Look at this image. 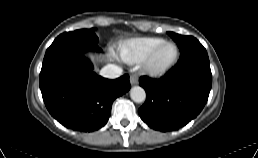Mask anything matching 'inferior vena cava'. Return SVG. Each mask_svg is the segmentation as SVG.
Instances as JSON below:
<instances>
[{
	"label": "inferior vena cava",
	"instance_id": "1",
	"mask_svg": "<svg viewBox=\"0 0 258 158\" xmlns=\"http://www.w3.org/2000/svg\"><path fill=\"white\" fill-rule=\"evenodd\" d=\"M122 68L114 65L108 64L100 70V75L104 78L115 79L122 75Z\"/></svg>",
	"mask_w": 258,
	"mask_h": 158
}]
</instances>
